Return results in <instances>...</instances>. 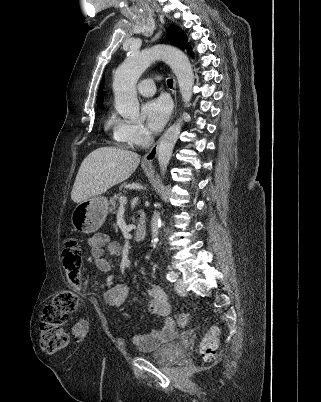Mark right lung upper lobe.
<instances>
[{
	"label": "right lung upper lobe",
	"instance_id": "right-lung-upper-lobe-1",
	"mask_svg": "<svg viewBox=\"0 0 321 402\" xmlns=\"http://www.w3.org/2000/svg\"><path fill=\"white\" fill-rule=\"evenodd\" d=\"M103 87H104V78L101 81L99 92H98V98H97L98 106H102V104H103Z\"/></svg>",
	"mask_w": 321,
	"mask_h": 402
}]
</instances>
